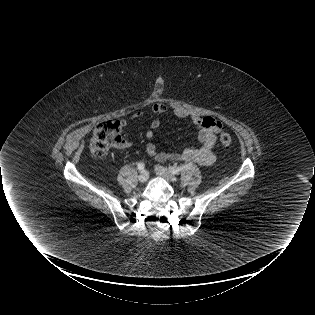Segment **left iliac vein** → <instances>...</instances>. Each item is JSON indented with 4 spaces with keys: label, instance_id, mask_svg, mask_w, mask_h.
Listing matches in <instances>:
<instances>
[{
    "label": "left iliac vein",
    "instance_id": "obj_1",
    "mask_svg": "<svg viewBox=\"0 0 315 315\" xmlns=\"http://www.w3.org/2000/svg\"><path fill=\"white\" fill-rule=\"evenodd\" d=\"M156 173L161 176L162 178L166 179L167 181H174L175 177L164 167H156Z\"/></svg>",
    "mask_w": 315,
    "mask_h": 315
}]
</instances>
